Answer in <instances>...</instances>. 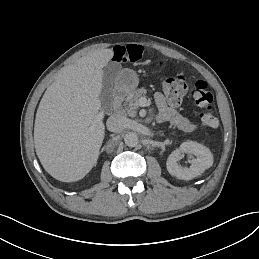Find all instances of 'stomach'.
<instances>
[{
	"label": "stomach",
	"instance_id": "obj_1",
	"mask_svg": "<svg viewBox=\"0 0 259 259\" xmlns=\"http://www.w3.org/2000/svg\"><path fill=\"white\" fill-rule=\"evenodd\" d=\"M139 83L138 75L130 69L119 71L115 77V86L118 90L125 93L133 91Z\"/></svg>",
	"mask_w": 259,
	"mask_h": 259
}]
</instances>
